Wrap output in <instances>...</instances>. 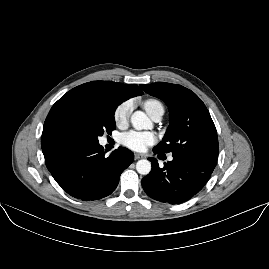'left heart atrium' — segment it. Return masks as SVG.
<instances>
[{
    "label": "left heart atrium",
    "mask_w": 269,
    "mask_h": 269,
    "mask_svg": "<svg viewBox=\"0 0 269 269\" xmlns=\"http://www.w3.org/2000/svg\"><path fill=\"white\" fill-rule=\"evenodd\" d=\"M119 141L124 147L132 151L141 152L154 144L157 141V137L149 132L129 131L123 133Z\"/></svg>",
    "instance_id": "obj_1"
}]
</instances>
